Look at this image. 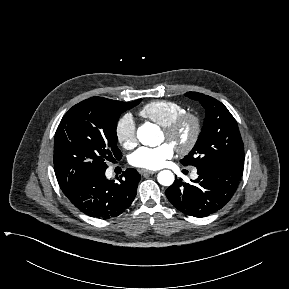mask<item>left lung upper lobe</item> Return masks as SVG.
I'll return each mask as SVG.
<instances>
[{
    "mask_svg": "<svg viewBox=\"0 0 289 289\" xmlns=\"http://www.w3.org/2000/svg\"><path fill=\"white\" fill-rule=\"evenodd\" d=\"M185 95L201 103L206 118L194 148L180 162L184 166L228 164L243 168L244 145L232 114L213 97L198 92Z\"/></svg>",
    "mask_w": 289,
    "mask_h": 289,
    "instance_id": "left-lung-upper-lobe-1",
    "label": "left lung upper lobe"
}]
</instances>
